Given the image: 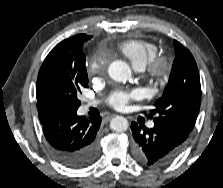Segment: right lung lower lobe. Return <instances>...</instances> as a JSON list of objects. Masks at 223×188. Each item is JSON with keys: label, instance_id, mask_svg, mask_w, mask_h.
<instances>
[{"label": "right lung lower lobe", "instance_id": "98d812e1", "mask_svg": "<svg viewBox=\"0 0 223 188\" xmlns=\"http://www.w3.org/2000/svg\"><path fill=\"white\" fill-rule=\"evenodd\" d=\"M39 119L49 151L58 162L81 169L96 161L100 153V116L87 119L73 110L41 113Z\"/></svg>", "mask_w": 223, "mask_h": 188}]
</instances>
